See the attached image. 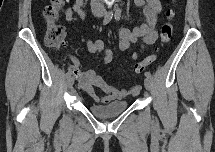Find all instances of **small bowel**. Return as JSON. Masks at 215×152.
Segmentation results:
<instances>
[{"label": "small bowel", "instance_id": "c3829d8e", "mask_svg": "<svg viewBox=\"0 0 215 152\" xmlns=\"http://www.w3.org/2000/svg\"><path fill=\"white\" fill-rule=\"evenodd\" d=\"M138 6L143 7L146 22L133 30L119 29V48L122 51L129 49L131 44L141 40L145 44H153L157 39L158 15L161 11V2L159 0H135ZM83 2L78 1L75 5L66 9V18L68 22H76L79 18L83 19L85 14L82 10ZM87 49L90 53L101 56L104 63L109 64L114 60V53L107 49L102 40H92L87 42ZM134 60L138 59L137 54H133ZM76 66L80 63L76 61ZM77 78L81 88L89 94L95 101L104 103L110 100L122 99L128 95H137L141 90V85L136 84L129 89H118L107 82L103 77L93 70L78 71ZM102 91L103 95L97 94L96 90Z\"/></svg>", "mask_w": 215, "mask_h": 152}]
</instances>
